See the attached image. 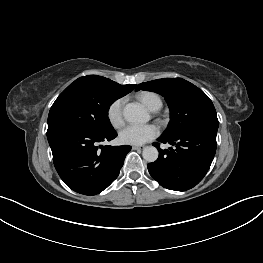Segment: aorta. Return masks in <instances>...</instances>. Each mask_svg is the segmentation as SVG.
Masks as SVG:
<instances>
[{
  "mask_svg": "<svg viewBox=\"0 0 263 263\" xmlns=\"http://www.w3.org/2000/svg\"><path fill=\"white\" fill-rule=\"evenodd\" d=\"M123 116L130 123H145L150 119L147 110L140 103H128L123 109ZM158 150L153 146L143 149L142 156L147 162H155L158 158Z\"/></svg>",
  "mask_w": 263,
  "mask_h": 263,
  "instance_id": "aorta-1",
  "label": "aorta"
}]
</instances>
